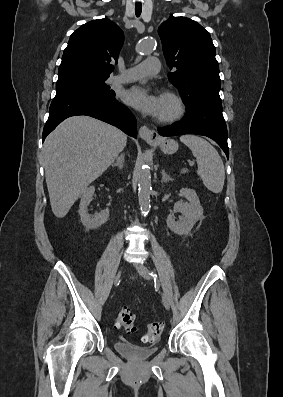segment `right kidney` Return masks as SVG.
<instances>
[{
  "label": "right kidney",
  "instance_id": "right-kidney-1",
  "mask_svg": "<svg viewBox=\"0 0 283 397\" xmlns=\"http://www.w3.org/2000/svg\"><path fill=\"white\" fill-rule=\"evenodd\" d=\"M94 192V186H90L86 188L81 195L79 214L82 224L88 229H96L102 226L109 218V209H105L94 216L88 213V206L92 201Z\"/></svg>",
  "mask_w": 283,
  "mask_h": 397
}]
</instances>
